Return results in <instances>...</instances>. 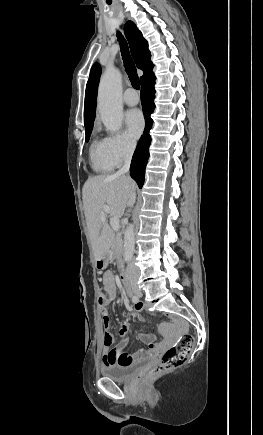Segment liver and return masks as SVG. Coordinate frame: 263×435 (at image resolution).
I'll list each match as a JSON object with an SVG mask.
<instances>
[{
	"instance_id": "liver-1",
	"label": "liver",
	"mask_w": 263,
	"mask_h": 435,
	"mask_svg": "<svg viewBox=\"0 0 263 435\" xmlns=\"http://www.w3.org/2000/svg\"><path fill=\"white\" fill-rule=\"evenodd\" d=\"M135 190L134 181L127 176L99 175L87 179L82 190L85 218L89 238L97 260L109 253L114 233L106 219L103 206L109 207V214L121 218L124 214L129 194Z\"/></svg>"
}]
</instances>
